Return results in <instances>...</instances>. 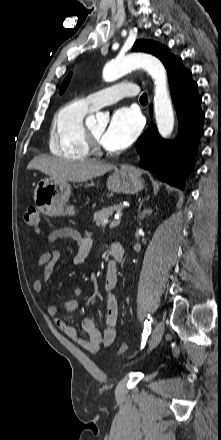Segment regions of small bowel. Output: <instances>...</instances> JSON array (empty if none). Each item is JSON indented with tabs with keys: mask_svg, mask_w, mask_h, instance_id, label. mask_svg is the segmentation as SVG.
Segmentation results:
<instances>
[{
	"mask_svg": "<svg viewBox=\"0 0 221 440\" xmlns=\"http://www.w3.org/2000/svg\"><path fill=\"white\" fill-rule=\"evenodd\" d=\"M67 238L76 242L77 250L73 258L74 263L77 265L83 264L92 250L93 240L90 237L82 236L77 229L72 227L59 228L51 231L48 235L49 242ZM59 258L60 252L55 248L49 249L39 257L38 266L41 268V275L33 282V288L37 293L43 291L45 283L52 276ZM111 264L112 262L108 264L103 285L106 294L105 329L103 332L99 330L92 318L87 317L83 319L81 324L82 330L86 335V338H83L78 334L77 329L63 317L61 309L64 315L73 314L77 311L78 301L75 299L66 301L61 309L56 305L48 308V314L54 320L59 330L89 353H95L101 347L109 346L116 338L119 308L115 289L118 276L117 271ZM81 294V288L74 289L75 296H80Z\"/></svg>",
	"mask_w": 221,
	"mask_h": 440,
	"instance_id": "1",
	"label": "small bowel"
}]
</instances>
